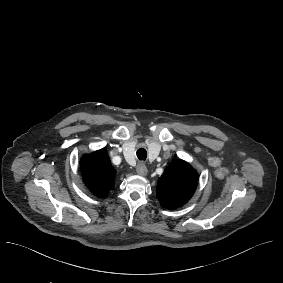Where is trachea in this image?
<instances>
[{
	"label": "trachea",
	"mask_w": 283,
	"mask_h": 283,
	"mask_svg": "<svg viewBox=\"0 0 283 283\" xmlns=\"http://www.w3.org/2000/svg\"><path fill=\"white\" fill-rule=\"evenodd\" d=\"M136 155L139 160H146L147 158V151L144 148H139L136 152Z\"/></svg>",
	"instance_id": "1"
}]
</instances>
